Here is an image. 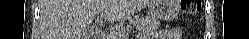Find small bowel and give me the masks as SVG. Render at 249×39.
<instances>
[{
  "label": "small bowel",
  "instance_id": "obj_1",
  "mask_svg": "<svg viewBox=\"0 0 249 39\" xmlns=\"http://www.w3.org/2000/svg\"><path fill=\"white\" fill-rule=\"evenodd\" d=\"M179 35V31L175 28H169V29H164L161 34L160 38L165 39V38H173Z\"/></svg>",
  "mask_w": 249,
  "mask_h": 39
}]
</instances>
